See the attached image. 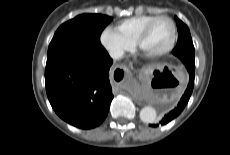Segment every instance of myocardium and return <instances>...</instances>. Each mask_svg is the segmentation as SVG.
I'll use <instances>...</instances> for the list:
<instances>
[{"label":"myocardium","mask_w":230,"mask_h":155,"mask_svg":"<svg viewBox=\"0 0 230 155\" xmlns=\"http://www.w3.org/2000/svg\"><path fill=\"white\" fill-rule=\"evenodd\" d=\"M167 20L170 22L171 26H172V39L170 44L163 50L158 51V52H146L144 51L142 44L143 41L145 40L150 28L152 27V25L158 21V20ZM177 35H178V30H177V25L175 23V21L167 16V15H159V16H155L153 19H151L149 22H147L144 27L141 29L137 39H136V45L137 47L147 56L149 57H154V58H158V57H163L166 56L167 54H169L175 47L176 42H177Z\"/></svg>","instance_id":"obj_1"}]
</instances>
